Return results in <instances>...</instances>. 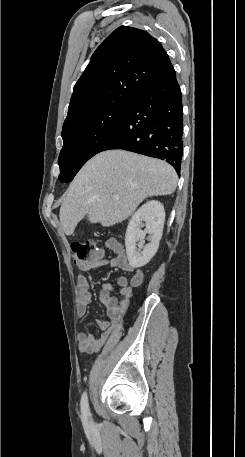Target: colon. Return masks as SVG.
Segmentation results:
<instances>
[{
    "label": "colon",
    "instance_id": "5ec220e1",
    "mask_svg": "<svg viewBox=\"0 0 245 457\" xmlns=\"http://www.w3.org/2000/svg\"><path fill=\"white\" fill-rule=\"evenodd\" d=\"M98 247L93 240L78 241L71 244V254L74 263L81 264L97 256Z\"/></svg>",
    "mask_w": 245,
    "mask_h": 457
}]
</instances>
